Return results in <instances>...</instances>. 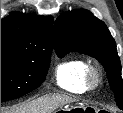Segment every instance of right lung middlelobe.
I'll return each mask as SVG.
<instances>
[{
    "instance_id": "obj_1",
    "label": "right lung middle lobe",
    "mask_w": 123,
    "mask_h": 113,
    "mask_svg": "<svg viewBox=\"0 0 123 113\" xmlns=\"http://www.w3.org/2000/svg\"><path fill=\"white\" fill-rule=\"evenodd\" d=\"M52 49L46 43L1 45V102L21 97L41 85Z\"/></svg>"
}]
</instances>
